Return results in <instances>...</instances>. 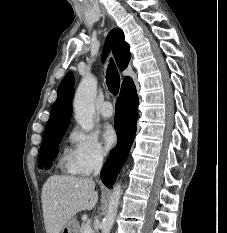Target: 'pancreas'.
Wrapping results in <instances>:
<instances>
[{"mask_svg":"<svg viewBox=\"0 0 227 233\" xmlns=\"http://www.w3.org/2000/svg\"><path fill=\"white\" fill-rule=\"evenodd\" d=\"M86 225L85 224H81V227L78 230V233H83V229Z\"/></svg>","mask_w":227,"mask_h":233,"instance_id":"pancreas-1","label":"pancreas"}]
</instances>
